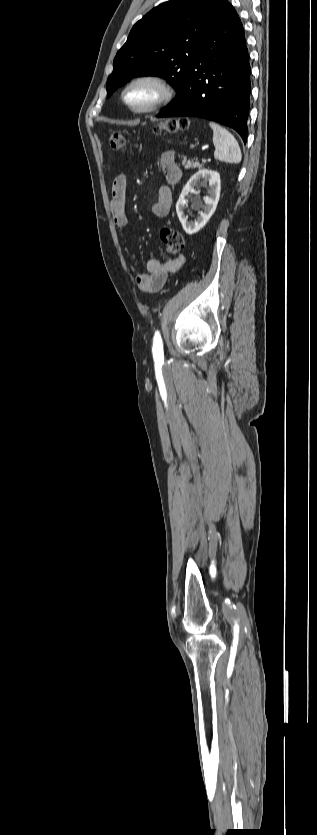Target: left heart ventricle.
<instances>
[{"label":"left heart ventricle","instance_id":"b2bd125f","mask_svg":"<svg viewBox=\"0 0 317 835\" xmlns=\"http://www.w3.org/2000/svg\"><path fill=\"white\" fill-rule=\"evenodd\" d=\"M153 96V90L145 85H137L127 93L129 102L137 106L147 103Z\"/></svg>","mask_w":317,"mask_h":835}]
</instances>
